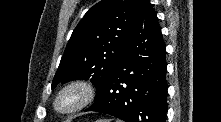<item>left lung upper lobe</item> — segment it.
<instances>
[{
  "instance_id": "left-lung-upper-lobe-1",
  "label": "left lung upper lobe",
  "mask_w": 221,
  "mask_h": 122,
  "mask_svg": "<svg viewBox=\"0 0 221 122\" xmlns=\"http://www.w3.org/2000/svg\"><path fill=\"white\" fill-rule=\"evenodd\" d=\"M141 0H102L90 8L73 31L52 89L58 83L90 79L104 91L130 36Z\"/></svg>"
}]
</instances>
